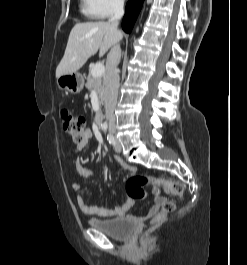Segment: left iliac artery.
<instances>
[{
    "label": "left iliac artery",
    "mask_w": 247,
    "mask_h": 265,
    "mask_svg": "<svg viewBox=\"0 0 247 265\" xmlns=\"http://www.w3.org/2000/svg\"><path fill=\"white\" fill-rule=\"evenodd\" d=\"M107 139H108V141H109L110 144H112V145L115 144L114 137L111 134L107 136Z\"/></svg>",
    "instance_id": "1"
}]
</instances>
